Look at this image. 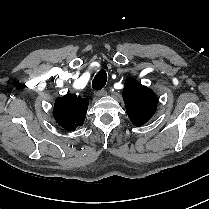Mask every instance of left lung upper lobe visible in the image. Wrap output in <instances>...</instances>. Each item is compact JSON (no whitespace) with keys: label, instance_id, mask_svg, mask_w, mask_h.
Instances as JSON below:
<instances>
[{"label":"left lung upper lobe","instance_id":"left-lung-upper-lobe-1","mask_svg":"<svg viewBox=\"0 0 209 209\" xmlns=\"http://www.w3.org/2000/svg\"><path fill=\"white\" fill-rule=\"evenodd\" d=\"M123 99L128 117L137 127L148 122L157 109L156 94L133 78L125 81Z\"/></svg>","mask_w":209,"mask_h":209}]
</instances>
